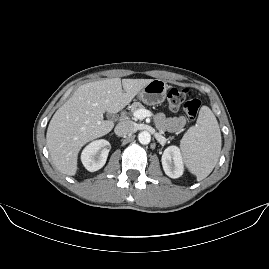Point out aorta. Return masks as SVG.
I'll use <instances>...</instances> for the list:
<instances>
[{"mask_svg":"<svg viewBox=\"0 0 269 269\" xmlns=\"http://www.w3.org/2000/svg\"><path fill=\"white\" fill-rule=\"evenodd\" d=\"M139 142L142 144H148L151 140L150 132L147 130H143L138 134Z\"/></svg>","mask_w":269,"mask_h":269,"instance_id":"762f6f07","label":"aorta"}]
</instances>
